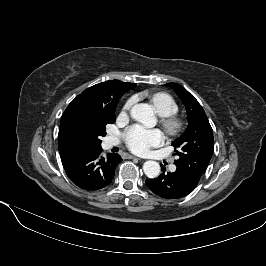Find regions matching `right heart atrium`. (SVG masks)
<instances>
[{
	"mask_svg": "<svg viewBox=\"0 0 266 266\" xmlns=\"http://www.w3.org/2000/svg\"><path fill=\"white\" fill-rule=\"evenodd\" d=\"M136 100L135 96L130 97L124 104V109L129 110Z\"/></svg>",
	"mask_w": 266,
	"mask_h": 266,
	"instance_id": "1",
	"label": "right heart atrium"
}]
</instances>
